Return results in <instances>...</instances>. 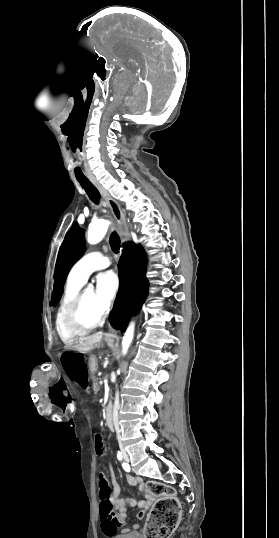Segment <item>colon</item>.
Returning a JSON list of instances; mask_svg holds the SVG:
<instances>
[{
  "label": "colon",
  "mask_w": 279,
  "mask_h": 538,
  "mask_svg": "<svg viewBox=\"0 0 279 538\" xmlns=\"http://www.w3.org/2000/svg\"><path fill=\"white\" fill-rule=\"evenodd\" d=\"M95 449L98 454L105 452L104 440L101 435H96ZM100 513L102 517L111 518L114 516L113 503L110 498V488L103 473L98 477ZM147 490L157 498L150 518L145 526V538H168L180 520V504L176 498L175 489L160 482H149Z\"/></svg>",
  "instance_id": "obj_1"
}]
</instances>
